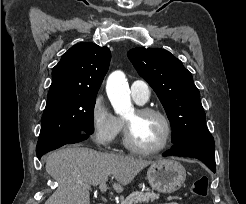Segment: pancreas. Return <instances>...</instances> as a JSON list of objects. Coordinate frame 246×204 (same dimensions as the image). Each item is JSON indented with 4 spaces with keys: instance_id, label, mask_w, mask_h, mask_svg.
Segmentation results:
<instances>
[{
    "instance_id": "obj_1",
    "label": "pancreas",
    "mask_w": 246,
    "mask_h": 204,
    "mask_svg": "<svg viewBox=\"0 0 246 204\" xmlns=\"http://www.w3.org/2000/svg\"><path fill=\"white\" fill-rule=\"evenodd\" d=\"M159 198V194L154 192H139L135 191L128 195L125 199L121 200L120 204H142L154 201Z\"/></svg>"
}]
</instances>
